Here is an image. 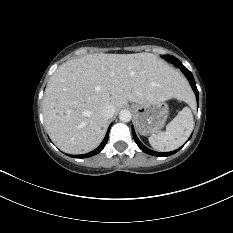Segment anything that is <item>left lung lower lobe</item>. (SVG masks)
I'll return each instance as SVG.
<instances>
[{
	"label": "left lung lower lobe",
	"mask_w": 233,
	"mask_h": 233,
	"mask_svg": "<svg viewBox=\"0 0 233 233\" xmlns=\"http://www.w3.org/2000/svg\"><path fill=\"white\" fill-rule=\"evenodd\" d=\"M174 65L177 66L178 68L181 69L182 73L186 76V78L188 79L189 83L191 84L192 86V89L193 91L195 92V95H196V99H197V105L199 103V93H198V90H197V87H196V84H195V80L193 78V75L192 73L178 60L176 62H174ZM132 133H133V137H134V140L135 142L137 143L138 147L144 151L145 153L147 154H150V155H153V156H170L174 153H176L177 151H179L181 149V147L177 150H174L172 152H165V153H161V152H155L153 150H150L148 149L147 147H145L140 141L139 139L137 138L136 136V133L134 131V128L132 126ZM191 138V137H190ZM189 138V139H190Z\"/></svg>",
	"instance_id": "0a47b994"
}]
</instances>
